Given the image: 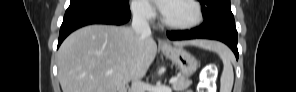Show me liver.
Masks as SVG:
<instances>
[{
    "label": "liver",
    "mask_w": 296,
    "mask_h": 92,
    "mask_svg": "<svg viewBox=\"0 0 296 92\" xmlns=\"http://www.w3.org/2000/svg\"><path fill=\"white\" fill-rule=\"evenodd\" d=\"M213 42H174L212 49ZM152 36L133 28L89 25L69 35L58 51V78L63 92H122L127 82L142 78L155 59ZM113 70L112 74H107Z\"/></svg>",
    "instance_id": "6515ba94"
}]
</instances>
